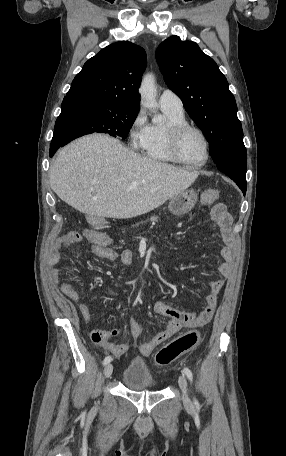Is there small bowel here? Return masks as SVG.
I'll return each instance as SVG.
<instances>
[{
	"label": "small bowel",
	"mask_w": 286,
	"mask_h": 456,
	"mask_svg": "<svg viewBox=\"0 0 286 456\" xmlns=\"http://www.w3.org/2000/svg\"><path fill=\"white\" fill-rule=\"evenodd\" d=\"M212 219L218 224L222 239L223 248L221 250L222 262L218 266L219 273L228 278L232 273V266L234 261L233 245L234 237L232 232V219L223 204H217L211 211ZM76 232H69L61 236L54 249L52 250L49 258L50 265L52 266V274L56 283L60 284L62 293L71 301L77 304L78 310L82 318L89 322L92 320V312L89 304L81 300L79 291L68 279L59 278V269L57 268L61 258V249L70 246L81 240L82 236ZM83 236L91 243V252L98 258L105 260H119L126 266L133 264V253L129 249L117 250L112 246L110 237L100 231L85 230ZM225 284L224 279L214 280L210 282V291L205 298V307L198 313L185 312L171 305L163 302L156 301L154 303L155 313L169 318L165 328L158 332L150 341L143 343L140 346V353L143 356L150 355L153 350L162 342L172 337L183 328L201 327L207 324L215 311L217 305L218 295ZM129 330L134 339H139L143 335V330L140 325L135 321L132 316L128 318ZM119 334L118 329L106 331L95 329L90 332V337L94 343L101 346L106 351L112 353L116 357L124 355L129 347L126 344H118L112 341V338ZM147 347L148 351L143 352V348Z\"/></svg>",
	"instance_id": "c3829d8e"
}]
</instances>
